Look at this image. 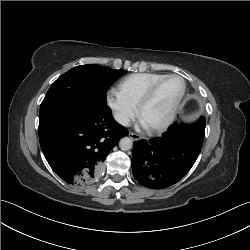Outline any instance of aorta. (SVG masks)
Returning <instances> with one entry per match:
<instances>
[{"mask_svg": "<svg viewBox=\"0 0 250 250\" xmlns=\"http://www.w3.org/2000/svg\"><path fill=\"white\" fill-rule=\"evenodd\" d=\"M119 146L122 150H130L133 146V142L129 137H124L120 140Z\"/></svg>", "mask_w": 250, "mask_h": 250, "instance_id": "obj_1", "label": "aorta"}]
</instances>
